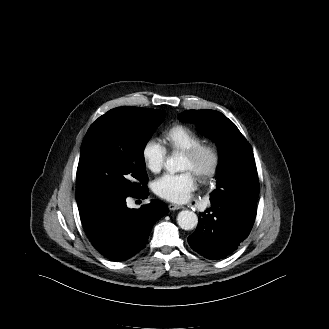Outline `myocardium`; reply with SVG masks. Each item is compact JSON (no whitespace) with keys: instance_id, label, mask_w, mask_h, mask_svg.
<instances>
[{"instance_id":"myocardium-1","label":"myocardium","mask_w":329,"mask_h":329,"mask_svg":"<svg viewBox=\"0 0 329 329\" xmlns=\"http://www.w3.org/2000/svg\"><path fill=\"white\" fill-rule=\"evenodd\" d=\"M184 155L193 162H200L204 158L208 160L206 166L196 171V176L206 181L214 177L221 164V153L218 146L213 142H201L200 144L186 150Z\"/></svg>"}]
</instances>
